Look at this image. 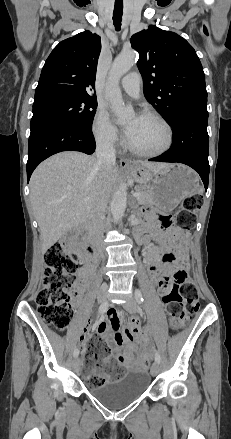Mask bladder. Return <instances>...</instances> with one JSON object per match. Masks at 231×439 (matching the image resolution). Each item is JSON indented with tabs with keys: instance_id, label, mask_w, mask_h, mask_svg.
<instances>
[{
	"instance_id": "1",
	"label": "bladder",
	"mask_w": 231,
	"mask_h": 439,
	"mask_svg": "<svg viewBox=\"0 0 231 439\" xmlns=\"http://www.w3.org/2000/svg\"><path fill=\"white\" fill-rule=\"evenodd\" d=\"M150 383L151 376L147 370L134 368L128 370L122 380L89 387L88 391L106 407L119 409L144 395Z\"/></svg>"
}]
</instances>
